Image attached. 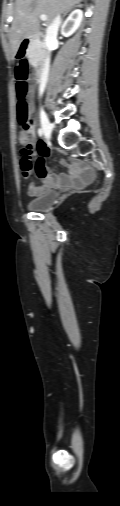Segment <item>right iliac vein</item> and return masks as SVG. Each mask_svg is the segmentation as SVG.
I'll return each mask as SVG.
<instances>
[{
	"label": "right iliac vein",
	"mask_w": 120,
	"mask_h": 506,
	"mask_svg": "<svg viewBox=\"0 0 120 506\" xmlns=\"http://www.w3.org/2000/svg\"><path fill=\"white\" fill-rule=\"evenodd\" d=\"M40 118H41V124H42L43 133H44V135L47 138H50L51 137V132H52V126L50 124V121H49L47 115L44 112H41Z\"/></svg>",
	"instance_id": "obj_1"
}]
</instances>
